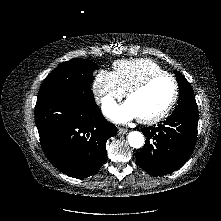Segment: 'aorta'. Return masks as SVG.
<instances>
[{"label": "aorta", "mask_w": 221, "mask_h": 221, "mask_svg": "<svg viewBox=\"0 0 221 221\" xmlns=\"http://www.w3.org/2000/svg\"><path fill=\"white\" fill-rule=\"evenodd\" d=\"M128 143L133 148H141L144 145V136L139 131H132L127 136Z\"/></svg>", "instance_id": "762f6f07"}]
</instances>
